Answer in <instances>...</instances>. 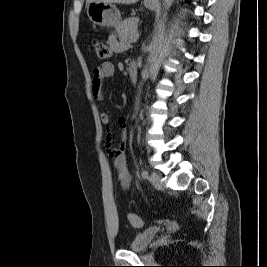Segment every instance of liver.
Returning a JSON list of instances; mask_svg holds the SVG:
<instances>
[{"instance_id":"liver-1","label":"liver","mask_w":267,"mask_h":267,"mask_svg":"<svg viewBox=\"0 0 267 267\" xmlns=\"http://www.w3.org/2000/svg\"><path fill=\"white\" fill-rule=\"evenodd\" d=\"M93 1H101V2H106V3H119V4H134L137 3L138 0H87L88 3L93 2Z\"/></svg>"}]
</instances>
